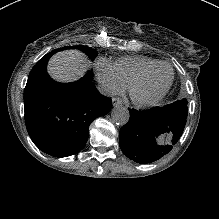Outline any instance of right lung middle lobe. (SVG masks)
Segmentation results:
<instances>
[{
  "mask_svg": "<svg viewBox=\"0 0 219 219\" xmlns=\"http://www.w3.org/2000/svg\"><path fill=\"white\" fill-rule=\"evenodd\" d=\"M70 48H76V47H65V48H61V49H56V50L48 53L47 55H51L53 53H56L57 51H60V50H63V49H70ZM77 49L82 50L92 60L97 56V52L93 51V49L90 48V47L80 46V47H77Z\"/></svg>",
  "mask_w": 219,
  "mask_h": 219,
  "instance_id": "dd1d6c3e",
  "label": "right lung middle lobe"
}]
</instances>
